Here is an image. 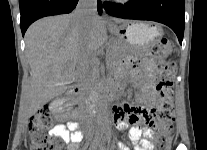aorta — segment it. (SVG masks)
<instances>
[{"label": "aorta", "instance_id": "1", "mask_svg": "<svg viewBox=\"0 0 207 150\" xmlns=\"http://www.w3.org/2000/svg\"><path fill=\"white\" fill-rule=\"evenodd\" d=\"M99 101H100V108L104 109L106 107V99L105 96L103 95V92L101 91V94L99 96Z\"/></svg>", "mask_w": 207, "mask_h": 150}]
</instances>
